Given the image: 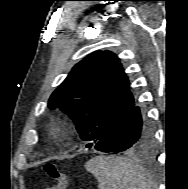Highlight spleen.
<instances>
[{"mask_svg":"<svg viewBox=\"0 0 188 189\" xmlns=\"http://www.w3.org/2000/svg\"><path fill=\"white\" fill-rule=\"evenodd\" d=\"M99 182V189H153L152 178L129 159L98 156L85 164Z\"/></svg>","mask_w":188,"mask_h":189,"instance_id":"obj_1","label":"spleen"}]
</instances>
